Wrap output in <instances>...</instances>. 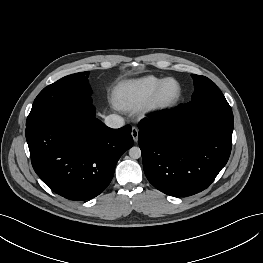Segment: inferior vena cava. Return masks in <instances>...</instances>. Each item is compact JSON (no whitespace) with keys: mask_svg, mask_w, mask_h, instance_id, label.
I'll return each mask as SVG.
<instances>
[{"mask_svg":"<svg viewBox=\"0 0 263 263\" xmlns=\"http://www.w3.org/2000/svg\"><path fill=\"white\" fill-rule=\"evenodd\" d=\"M105 124L106 126L113 128V129H118L123 127L124 125V119L116 114H111L107 117H105Z\"/></svg>","mask_w":263,"mask_h":263,"instance_id":"inferior-vena-cava-1","label":"inferior vena cava"}]
</instances>
